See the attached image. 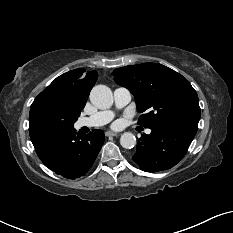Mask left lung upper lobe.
<instances>
[{"mask_svg": "<svg viewBox=\"0 0 233 233\" xmlns=\"http://www.w3.org/2000/svg\"><path fill=\"white\" fill-rule=\"evenodd\" d=\"M117 84L134 95L145 128L186 125L198 128L199 100L191 84L176 71L158 64L143 63L115 69Z\"/></svg>", "mask_w": 233, "mask_h": 233, "instance_id": "left-lung-upper-lobe-1", "label": "left lung upper lobe"}]
</instances>
